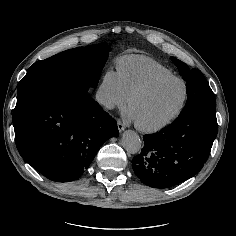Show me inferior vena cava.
<instances>
[{"label":"inferior vena cava","instance_id":"1","mask_svg":"<svg viewBox=\"0 0 236 236\" xmlns=\"http://www.w3.org/2000/svg\"><path fill=\"white\" fill-rule=\"evenodd\" d=\"M96 100L98 103L108 106L112 103L110 92L108 90H105L103 88H99L96 93Z\"/></svg>","mask_w":236,"mask_h":236}]
</instances>
